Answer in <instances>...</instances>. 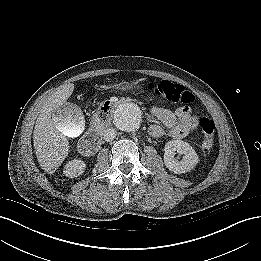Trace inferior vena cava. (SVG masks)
Returning <instances> with one entry per match:
<instances>
[{"label": "inferior vena cava", "mask_w": 261, "mask_h": 261, "mask_svg": "<svg viewBox=\"0 0 261 261\" xmlns=\"http://www.w3.org/2000/svg\"><path fill=\"white\" fill-rule=\"evenodd\" d=\"M116 130L113 128H108L104 131L103 138L105 141H112L116 137Z\"/></svg>", "instance_id": "obj_1"}]
</instances>
